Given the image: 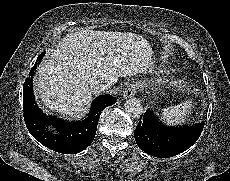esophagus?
<instances>
[{
    "mask_svg": "<svg viewBox=\"0 0 230 181\" xmlns=\"http://www.w3.org/2000/svg\"><path fill=\"white\" fill-rule=\"evenodd\" d=\"M138 90V86L137 84H129L126 89L124 90L123 93V98L124 99H129L135 96V94L137 93Z\"/></svg>",
    "mask_w": 230,
    "mask_h": 181,
    "instance_id": "esophagus-1",
    "label": "esophagus"
}]
</instances>
